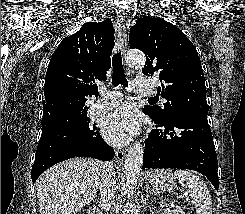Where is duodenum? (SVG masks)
<instances>
[{
  "mask_svg": "<svg viewBox=\"0 0 245 214\" xmlns=\"http://www.w3.org/2000/svg\"><path fill=\"white\" fill-rule=\"evenodd\" d=\"M89 214H101L97 209H92L89 211Z\"/></svg>",
  "mask_w": 245,
  "mask_h": 214,
  "instance_id": "obj_1",
  "label": "duodenum"
}]
</instances>
